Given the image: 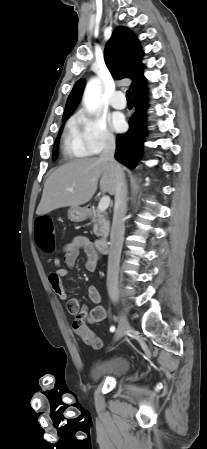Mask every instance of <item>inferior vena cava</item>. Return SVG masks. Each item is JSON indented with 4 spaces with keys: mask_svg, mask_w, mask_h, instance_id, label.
<instances>
[{
    "mask_svg": "<svg viewBox=\"0 0 207 449\" xmlns=\"http://www.w3.org/2000/svg\"><path fill=\"white\" fill-rule=\"evenodd\" d=\"M115 139L108 136L105 140L100 160L107 161L115 170V210L113 215L112 229L110 234V249L108 255L107 289L111 296L118 295V273L120 255L123 245L125 225L124 218L127 211V183L125 174L120 165L114 159Z\"/></svg>",
    "mask_w": 207,
    "mask_h": 449,
    "instance_id": "obj_1",
    "label": "inferior vena cava"
}]
</instances>
